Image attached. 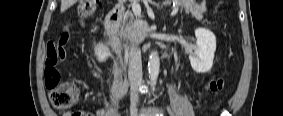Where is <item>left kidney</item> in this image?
Wrapping results in <instances>:
<instances>
[{
    "mask_svg": "<svg viewBox=\"0 0 283 116\" xmlns=\"http://www.w3.org/2000/svg\"><path fill=\"white\" fill-rule=\"evenodd\" d=\"M195 36L197 38L196 46L189 53L190 64L197 73H206L211 70L213 65L216 37L205 28H197Z\"/></svg>",
    "mask_w": 283,
    "mask_h": 116,
    "instance_id": "5707ae66",
    "label": "left kidney"
}]
</instances>
